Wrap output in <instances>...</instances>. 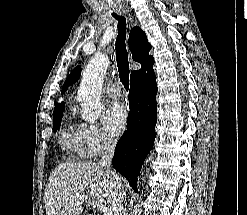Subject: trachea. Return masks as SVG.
I'll use <instances>...</instances> for the list:
<instances>
[{
	"label": "trachea",
	"mask_w": 247,
	"mask_h": 215,
	"mask_svg": "<svg viewBox=\"0 0 247 215\" xmlns=\"http://www.w3.org/2000/svg\"><path fill=\"white\" fill-rule=\"evenodd\" d=\"M112 16L118 20V35L116 39V61L118 66V72L120 76V81L122 82L125 89L129 88V61L128 52L126 49L125 39H126V19L122 16H118L113 13Z\"/></svg>",
	"instance_id": "3493384b"
}]
</instances>
